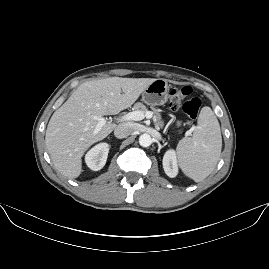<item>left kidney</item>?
<instances>
[{
	"instance_id": "1",
	"label": "left kidney",
	"mask_w": 269,
	"mask_h": 269,
	"mask_svg": "<svg viewBox=\"0 0 269 269\" xmlns=\"http://www.w3.org/2000/svg\"><path fill=\"white\" fill-rule=\"evenodd\" d=\"M163 168L165 173L174 178L178 174V166H177V159L176 153L173 149L166 151L163 157Z\"/></svg>"
}]
</instances>
